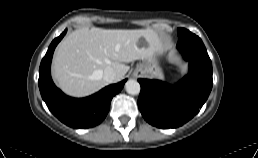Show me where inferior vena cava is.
Returning <instances> with one entry per match:
<instances>
[{
  "instance_id": "602c4592",
  "label": "inferior vena cava",
  "mask_w": 258,
  "mask_h": 158,
  "mask_svg": "<svg viewBox=\"0 0 258 158\" xmlns=\"http://www.w3.org/2000/svg\"><path fill=\"white\" fill-rule=\"evenodd\" d=\"M103 79L108 83L115 81V79H116L115 70L111 67L105 68L103 71Z\"/></svg>"
}]
</instances>
